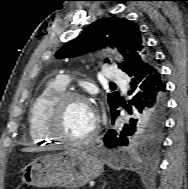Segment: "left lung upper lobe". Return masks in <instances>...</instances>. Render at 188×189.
Instances as JSON below:
<instances>
[{
	"label": "left lung upper lobe",
	"instance_id": "left-lung-upper-lobe-1",
	"mask_svg": "<svg viewBox=\"0 0 188 189\" xmlns=\"http://www.w3.org/2000/svg\"><path fill=\"white\" fill-rule=\"evenodd\" d=\"M106 45H116L124 57L118 67L124 72L153 59L141 31L132 22L117 18L99 19L90 24L80 36L66 43L56 52V58L73 57ZM108 62V60H106ZM110 109L119 102V93L108 94ZM163 124L154 128L138 127L129 139L128 147L145 145L156 150L161 141Z\"/></svg>",
	"mask_w": 188,
	"mask_h": 189
}]
</instances>
